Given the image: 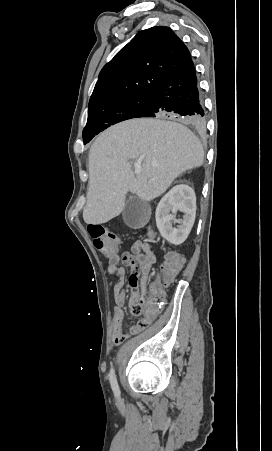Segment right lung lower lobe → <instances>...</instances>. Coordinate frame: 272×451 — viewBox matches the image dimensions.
I'll use <instances>...</instances> for the list:
<instances>
[{"instance_id": "98d812e1", "label": "right lung lower lobe", "mask_w": 272, "mask_h": 451, "mask_svg": "<svg viewBox=\"0 0 272 451\" xmlns=\"http://www.w3.org/2000/svg\"><path fill=\"white\" fill-rule=\"evenodd\" d=\"M139 117L178 119L198 130L205 128V110L192 59L152 91Z\"/></svg>"}]
</instances>
